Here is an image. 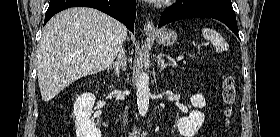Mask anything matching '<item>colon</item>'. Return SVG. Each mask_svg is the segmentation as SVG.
<instances>
[{
  "label": "colon",
  "mask_w": 280,
  "mask_h": 137,
  "mask_svg": "<svg viewBox=\"0 0 280 137\" xmlns=\"http://www.w3.org/2000/svg\"><path fill=\"white\" fill-rule=\"evenodd\" d=\"M222 95H223V101L228 110L227 112L229 113V109L231 105L234 103L235 95H236L234 79L230 74L225 75Z\"/></svg>",
  "instance_id": "colon-1"
}]
</instances>
